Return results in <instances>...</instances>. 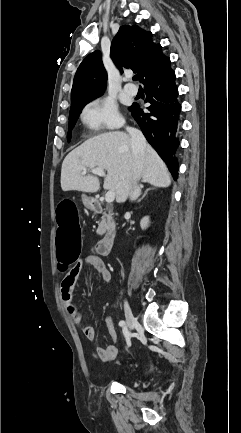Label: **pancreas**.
<instances>
[{"mask_svg": "<svg viewBox=\"0 0 241 433\" xmlns=\"http://www.w3.org/2000/svg\"><path fill=\"white\" fill-rule=\"evenodd\" d=\"M109 223V216L104 214L101 221L98 224V229H97V234L98 235H103L106 231V229L109 227V225H107Z\"/></svg>", "mask_w": 241, "mask_h": 433, "instance_id": "obj_1", "label": "pancreas"}]
</instances>
